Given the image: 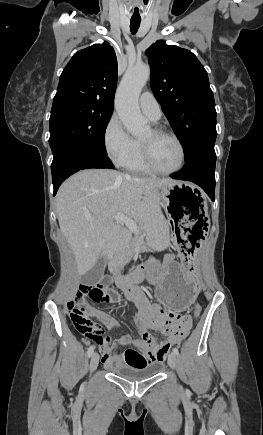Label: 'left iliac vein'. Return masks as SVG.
<instances>
[{
	"mask_svg": "<svg viewBox=\"0 0 263 435\" xmlns=\"http://www.w3.org/2000/svg\"><path fill=\"white\" fill-rule=\"evenodd\" d=\"M176 364H177V356L175 353H171L168 357V365L172 368L175 369L176 368Z\"/></svg>",
	"mask_w": 263,
	"mask_h": 435,
	"instance_id": "4c4485c4",
	"label": "left iliac vein"
}]
</instances>
